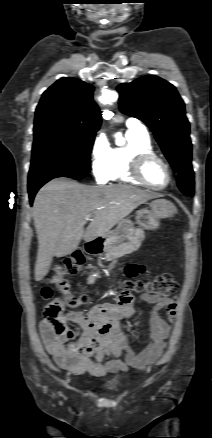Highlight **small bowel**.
<instances>
[{"mask_svg": "<svg viewBox=\"0 0 212 438\" xmlns=\"http://www.w3.org/2000/svg\"><path fill=\"white\" fill-rule=\"evenodd\" d=\"M142 265L131 264L126 269L128 277L144 274ZM140 298L153 305L148 320L150 324V342L139 354H135L128 344L127 334L121 327V321L134 314V298L123 292L117 304L95 306L89 313L71 311L65 320L80 326L81 335L75 341H68L43 320L40 332L48 352L56 363L74 375L101 377L107 373L125 372L128 367L143 370L161 356L165 340L170 333V324L176 314L177 301L168 297L141 294ZM166 311L167 322L161 311ZM124 356L125 360H121ZM106 358L110 360L104 362Z\"/></svg>", "mask_w": 212, "mask_h": 438, "instance_id": "1", "label": "small bowel"}]
</instances>
